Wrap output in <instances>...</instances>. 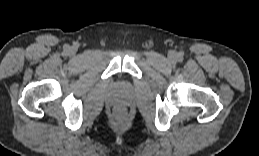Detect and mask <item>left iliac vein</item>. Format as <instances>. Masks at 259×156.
<instances>
[{
	"label": "left iliac vein",
	"instance_id": "obj_1",
	"mask_svg": "<svg viewBox=\"0 0 259 156\" xmlns=\"http://www.w3.org/2000/svg\"><path fill=\"white\" fill-rule=\"evenodd\" d=\"M168 57H169V59L171 61H175L176 60V53L175 52H170Z\"/></svg>",
	"mask_w": 259,
	"mask_h": 156
}]
</instances>
